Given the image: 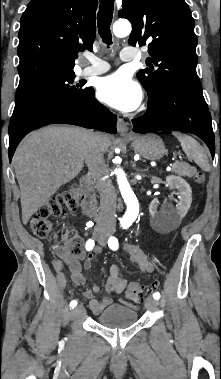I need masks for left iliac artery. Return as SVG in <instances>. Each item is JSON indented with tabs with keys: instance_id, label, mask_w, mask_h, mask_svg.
<instances>
[{
	"instance_id": "1",
	"label": "left iliac artery",
	"mask_w": 221,
	"mask_h": 379,
	"mask_svg": "<svg viewBox=\"0 0 221 379\" xmlns=\"http://www.w3.org/2000/svg\"><path fill=\"white\" fill-rule=\"evenodd\" d=\"M108 246H109L110 249H112L114 251L117 250L118 247H119L118 239L116 237H114V236H111L108 239ZM160 297H161V295H160L159 292H155L153 294V298L156 299V300L160 299Z\"/></svg>"
}]
</instances>
